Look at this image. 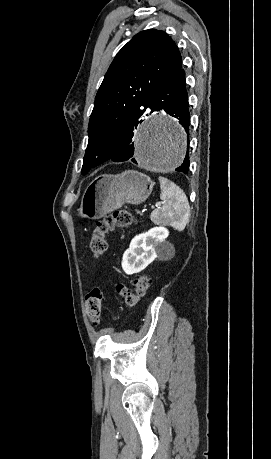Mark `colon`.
Returning a JSON list of instances; mask_svg holds the SVG:
<instances>
[{
    "label": "colon",
    "mask_w": 271,
    "mask_h": 459,
    "mask_svg": "<svg viewBox=\"0 0 271 459\" xmlns=\"http://www.w3.org/2000/svg\"><path fill=\"white\" fill-rule=\"evenodd\" d=\"M133 223L130 212L124 209L117 210L112 214L96 221L91 231L90 251L94 257H101L107 250L106 237L115 228H123ZM151 279L146 274L138 275L133 282V289L119 284L116 286L118 294L127 306H135L141 296L148 290ZM103 292L100 288H93L86 295V312L93 324H98L101 318V303Z\"/></svg>",
    "instance_id": "colon-1"
}]
</instances>
